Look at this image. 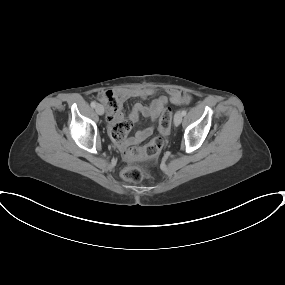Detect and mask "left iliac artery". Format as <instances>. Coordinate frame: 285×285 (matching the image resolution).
<instances>
[{
	"label": "left iliac artery",
	"mask_w": 285,
	"mask_h": 285,
	"mask_svg": "<svg viewBox=\"0 0 285 285\" xmlns=\"http://www.w3.org/2000/svg\"><path fill=\"white\" fill-rule=\"evenodd\" d=\"M181 113H182V115H183V116H185V115H186V113H187V111H186V110H182V112H181Z\"/></svg>",
	"instance_id": "left-iliac-artery-1"
}]
</instances>
